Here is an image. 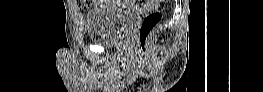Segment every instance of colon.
Masks as SVG:
<instances>
[{
	"label": "colon",
	"mask_w": 263,
	"mask_h": 92,
	"mask_svg": "<svg viewBox=\"0 0 263 92\" xmlns=\"http://www.w3.org/2000/svg\"><path fill=\"white\" fill-rule=\"evenodd\" d=\"M161 19L162 14L158 10L151 11L145 16L139 28V50L145 51L148 38Z\"/></svg>",
	"instance_id": "colon-1"
}]
</instances>
